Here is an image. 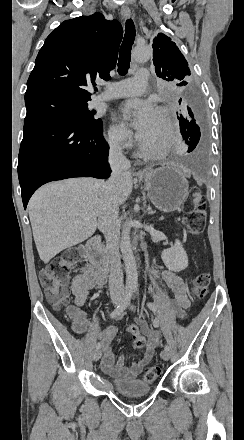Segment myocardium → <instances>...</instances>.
<instances>
[{
  "label": "myocardium",
  "mask_w": 244,
  "mask_h": 440,
  "mask_svg": "<svg viewBox=\"0 0 244 440\" xmlns=\"http://www.w3.org/2000/svg\"><path fill=\"white\" fill-rule=\"evenodd\" d=\"M155 112L162 113V114L165 115L166 121H167V130H168V128L171 125V120H172V113H171V111L169 109L165 108V107H157ZM164 137H162L159 141H154L153 143L151 141L144 140V141H142V145L150 146V145H153L154 143L163 142ZM165 156H166V151H162L161 153L157 154L154 158H156V159H163Z\"/></svg>",
  "instance_id": "f54148a6"
}]
</instances>
